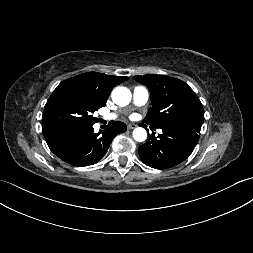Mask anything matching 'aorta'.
<instances>
[{
  "mask_svg": "<svg viewBox=\"0 0 253 253\" xmlns=\"http://www.w3.org/2000/svg\"><path fill=\"white\" fill-rule=\"evenodd\" d=\"M112 100L119 106H126L131 101V92L126 87H116L111 94ZM133 138L138 142H143L147 138V132L144 128L138 127L133 130Z\"/></svg>",
  "mask_w": 253,
  "mask_h": 253,
  "instance_id": "1",
  "label": "aorta"
}]
</instances>
